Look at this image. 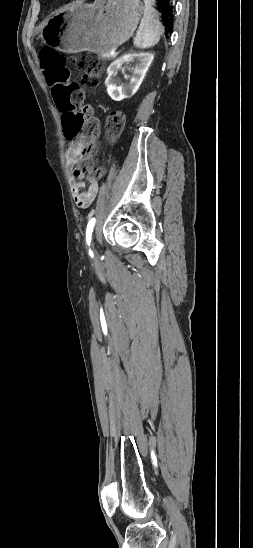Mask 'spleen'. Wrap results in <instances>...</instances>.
<instances>
[{"mask_svg": "<svg viewBox=\"0 0 253 548\" xmlns=\"http://www.w3.org/2000/svg\"><path fill=\"white\" fill-rule=\"evenodd\" d=\"M154 0H144V15L141 21L140 29L134 39V45L137 48L145 49L155 46L164 31L159 21L158 11L153 8Z\"/></svg>", "mask_w": 253, "mask_h": 548, "instance_id": "1", "label": "spleen"}]
</instances>
